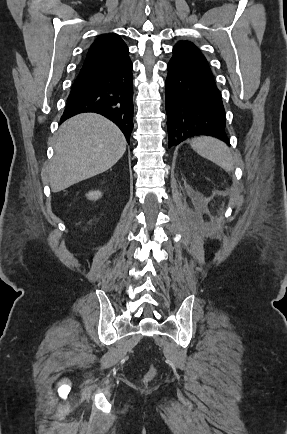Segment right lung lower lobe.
<instances>
[{"label":"right lung lower lobe","mask_w":287,"mask_h":434,"mask_svg":"<svg viewBox=\"0 0 287 434\" xmlns=\"http://www.w3.org/2000/svg\"><path fill=\"white\" fill-rule=\"evenodd\" d=\"M84 112L113 121L127 142L133 129V76L128 52L80 68L68 96L61 122Z\"/></svg>","instance_id":"obj_1"}]
</instances>
